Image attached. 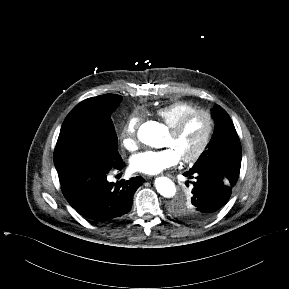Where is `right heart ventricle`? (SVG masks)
Listing matches in <instances>:
<instances>
[{"label": "right heart ventricle", "mask_w": 289, "mask_h": 289, "mask_svg": "<svg viewBox=\"0 0 289 289\" xmlns=\"http://www.w3.org/2000/svg\"><path fill=\"white\" fill-rule=\"evenodd\" d=\"M195 109L196 107L189 102L175 101L159 107L155 111V115L160 118L168 127H171L180 117Z\"/></svg>", "instance_id": "obj_1"}]
</instances>
